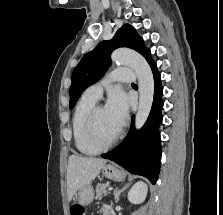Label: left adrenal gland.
Returning a JSON list of instances; mask_svg holds the SVG:
<instances>
[{"instance_id": "a2214340", "label": "left adrenal gland", "mask_w": 223, "mask_h": 215, "mask_svg": "<svg viewBox=\"0 0 223 215\" xmlns=\"http://www.w3.org/2000/svg\"><path fill=\"white\" fill-rule=\"evenodd\" d=\"M129 185L130 183H125L124 187H121V189H119V187H116V189H114L113 195L115 197V203H118L120 193H122V191H125V189L129 187Z\"/></svg>"}]
</instances>
